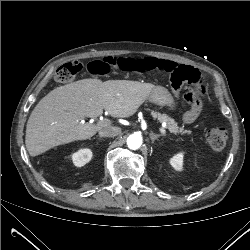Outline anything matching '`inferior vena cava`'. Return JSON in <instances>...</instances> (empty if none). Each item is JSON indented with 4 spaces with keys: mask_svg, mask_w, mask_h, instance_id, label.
Segmentation results:
<instances>
[{
    "mask_svg": "<svg viewBox=\"0 0 250 250\" xmlns=\"http://www.w3.org/2000/svg\"><path fill=\"white\" fill-rule=\"evenodd\" d=\"M121 132L120 128L118 127H107L103 128L99 131V136L101 137H114L119 135Z\"/></svg>",
    "mask_w": 250,
    "mask_h": 250,
    "instance_id": "obj_1",
    "label": "inferior vena cava"
}]
</instances>
